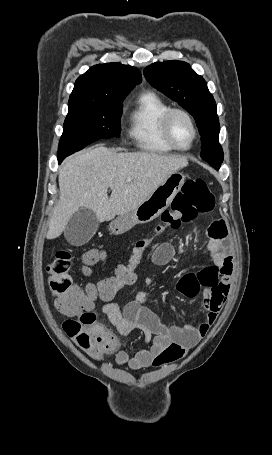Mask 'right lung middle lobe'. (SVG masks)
<instances>
[{
  "label": "right lung middle lobe",
  "mask_w": 272,
  "mask_h": 455,
  "mask_svg": "<svg viewBox=\"0 0 272 455\" xmlns=\"http://www.w3.org/2000/svg\"><path fill=\"white\" fill-rule=\"evenodd\" d=\"M121 114L122 104L69 106L59 142L58 157L64 159L102 138L119 137Z\"/></svg>",
  "instance_id": "obj_1"
}]
</instances>
